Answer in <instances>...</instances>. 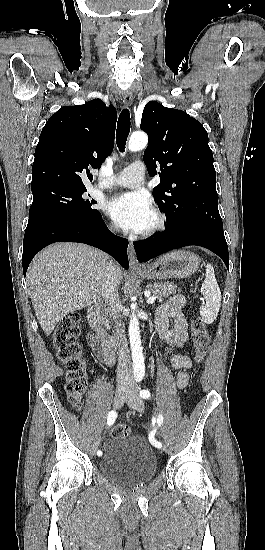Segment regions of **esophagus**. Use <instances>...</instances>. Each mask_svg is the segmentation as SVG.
I'll return each instance as SVG.
<instances>
[{"label":"esophagus","instance_id":"34e87169","mask_svg":"<svg viewBox=\"0 0 265 550\" xmlns=\"http://www.w3.org/2000/svg\"><path fill=\"white\" fill-rule=\"evenodd\" d=\"M123 102L126 106H130L132 104L133 95H132L131 92L127 91L126 93H124ZM128 256H129L130 267L134 268V269L138 268L139 264H138V261H137V258H136V253H135L132 242H129Z\"/></svg>","mask_w":265,"mask_h":550}]
</instances>
